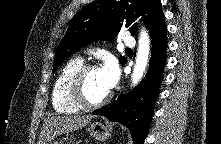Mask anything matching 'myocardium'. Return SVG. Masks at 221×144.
<instances>
[{
	"instance_id": "obj_1",
	"label": "myocardium",
	"mask_w": 221,
	"mask_h": 144,
	"mask_svg": "<svg viewBox=\"0 0 221 144\" xmlns=\"http://www.w3.org/2000/svg\"><path fill=\"white\" fill-rule=\"evenodd\" d=\"M99 69L96 64L84 63L81 65L69 82V95L71 100L82 109L96 108L104 105L111 98V92L109 91L104 97L98 101H90L84 91V83L86 76L92 70Z\"/></svg>"
}]
</instances>
